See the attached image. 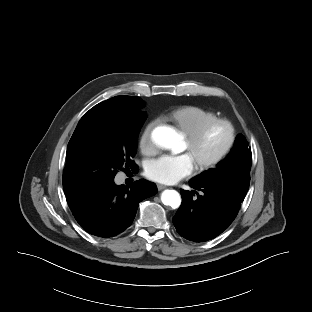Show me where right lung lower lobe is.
Wrapping results in <instances>:
<instances>
[{"instance_id": "right-lung-lower-lobe-1", "label": "right lung lower lobe", "mask_w": 312, "mask_h": 312, "mask_svg": "<svg viewBox=\"0 0 312 312\" xmlns=\"http://www.w3.org/2000/svg\"><path fill=\"white\" fill-rule=\"evenodd\" d=\"M157 193L154 183L135 181L130 188L114 180L68 202L77 222L90 234L108 238L133 222L139 202Z\"/></svg>"}]
</instances>
